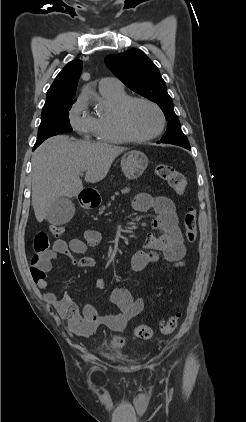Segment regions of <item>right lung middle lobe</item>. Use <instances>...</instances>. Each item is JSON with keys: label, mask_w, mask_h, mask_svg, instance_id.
I'll return each instance as SVG.
<instances>
[{"label": "right lung middle lobe", "mask_w": 246, "mask_h": 422, "mask_svg": "<svg viewBox=\"0 0 246 422\" xmlns=\"http://www.w3.org/2000/svg\"><path fill=\"white\" fill-rule=\"evenodd\" d=\"M75 101H63L43 107L38 137L34 148L38 147L49 137L73 131L69 121V110Z\"/></svg>", "instance_id": "dd1d6c3e"}]
</instances>
